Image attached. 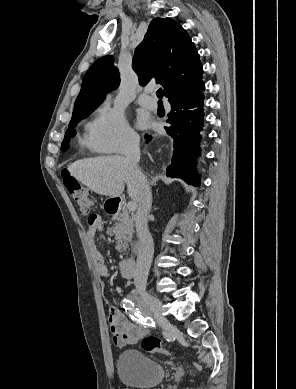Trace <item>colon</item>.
Segmentation results:
<instances>
[{
    "mask_svg": "<svg viewBox=\"0 0 296 389\" xmlns=\"http://www.w3.org/2000/svg\"><path fill=\"white\" fill-rule=\"evenodd\" d=\"M62 177L66 189L80 208L81 212L83 214H88L94 204L89 190L74 177H71L68 172H63ZM91 216L92 215L89 216V219ZM141 347L148 353L162 352L166 354H172L170 350L163 346L160 339L155 336H145L141 341Z\"/></svg>",
    "mask_w": 296,
    "mask_h": 389,
    "instance_id": "1",
    "label": "colon"
}]
</instances>
